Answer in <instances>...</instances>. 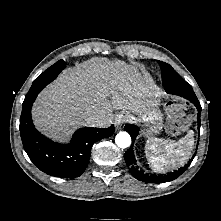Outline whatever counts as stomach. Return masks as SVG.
<instances>
[{
    "mask_svg": "<svg viewBox=\"0 0 221 221\" xmlns=\"http://www.w3.org/2000/svg\"><path fill=\"white\" fill-rule=\"evenodd\" d=\"M128 118L131 121H138L145 127L147 136L158 134L163 128L162 114L155 109H148L141 113L129 114Z\"/></svg>",
    "mask_w": 221,
    "mask_h": 221,
    "instance_id": "0dacf381",
    "label": "stomach"
}]
</instances>
